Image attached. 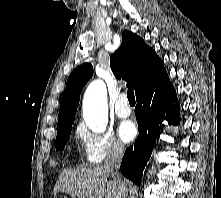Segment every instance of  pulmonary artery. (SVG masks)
Returning a JSON list of instances; mask_svg holds the SVG:
<instances>
[{
    "mask_svg": "<svg viewBox=\"0 0 221 198\" xmlns=\"http://www.w3.org/2000/svg\"><path fill=\"white\" fill-rule=\"evenodd\" d=\"M115 113L120 118H126L131 115V108L128 103L127 96L125 94H121L115 104Z\"/></svg>",
    "mask_w": 221,
    "mask_h": 198,
    "instance_id": "1",
    "label": "pulmonary artery"
}]
</instances>
